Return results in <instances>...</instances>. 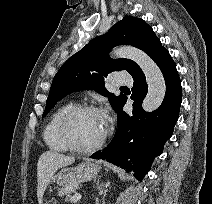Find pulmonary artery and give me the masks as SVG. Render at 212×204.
Returning a JSON list of instances; mask_svg holds the SVG:
<instances>
[{"label": "pulmonary artery", "instance_id": "e3ab8cb5", "mask_svg": "<svg viewBox=\"0 0 212 204\" xmlns=\"http://www.w3.org/2000/svg\"><path fill=\"white\" fill-rule=\"evenodd\" d=\"M133 80L129 75L119 74L115 79L117 85H129L132 84Z\"/></svg>", "mask_w": 212, "mask_h": 204}]
</instances>
